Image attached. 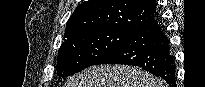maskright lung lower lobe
<instances>
[{"label": "right lung lower lobe", "instance_id": "98d812e1", "mask_svg": "<svg viewBox=\"0 0 205 87\" xmlns=\"http://www.w3.org/2000/svg\"><path fill=\"white\" fill-rule=\"evenodd\" d=\"M124 64L143 68L176 87V65L164 29L153 20L133 32L124 42L99 60V64Z\"/></svg>", "mask_w": 205, "mask_h": 87}]
</instances>
